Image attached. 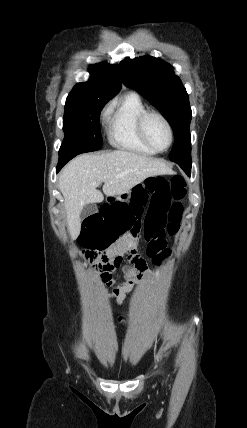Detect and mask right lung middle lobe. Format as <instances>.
Wrapping results in <instances>:
<instances>
[{
  "instance_id": "1",
  "label": "right lung middle lobe",
  "mask_w": 247,
  "mask_h": 428,
  "mask_svg": "<svg viewBox=\"0 0 247 428\" xmlns=\"http://www.w3.org/2000/svg\"><path fill=\"white\" fill-rule=\"evenodd\" d=\"M108 101L92 95H68L63 118L65 138L59 156L78 155L101 148L99 117Z\"/></svg>"
}]
</instances>
